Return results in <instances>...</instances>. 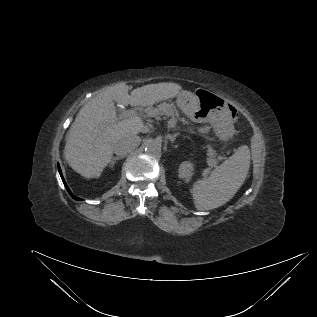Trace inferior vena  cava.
Here are the masks:
<instances>
[{
  "instance_id": "obj_1",
  "label": "inferior vena cava",
  "mask_w": 317,
  "mask_h": 317,
  "mask_svg": "<svg viewBox=\"0 0 317 317\" xmlns=\"http://www.w3.org/2000/svg\"><path fill=\"white\" fill-rule=\"evenodd\" d=\"M140 144V138L135 135L125 136L114 142L112 148L118 156H125L132 150L136 149Z\"/></svg>"
}]
</instances>
